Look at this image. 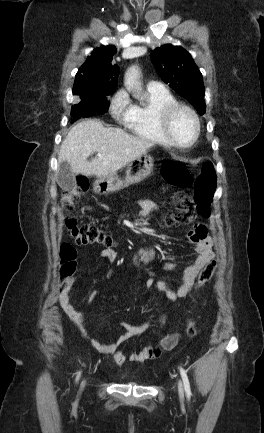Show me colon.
I'll list each match as a JSON object with an SVG mask.
<instances>
[{
	"label": "colon",
	"mask_w": 264,
	"mask_h": 433,
	"mask_svg": "<svg viewBox=\"0 0 264 433\" xmlns=\"http://www.w3.org/2000/svg\"><path fill=\"white\" fill-rule=\"evenodd\" d=\"M162 173L165 181L177 188L194 187L192 195H179L176 199L177 207L165 216L168 227H177L192 223L197 217H207L211 213V201L215 190L216 177L213 164L204 161L197 172L193 173L187 166L168 161L163 164ZM89 184L85 179H79L62 198L65 210L71 211L75 202L88 190ZM65 227L72 240L77 245L99 244L105 247H114L110 235L95 225L79 224L75 218L68 216ZM60 279L64 285L75 273L77 267V251L70 243H63L60 250ZM217 267L215 260H210L200 271L195 283V289L202 287L214 274ZM166 323V313L159 319V331ZM186 334L194 337L197 334L196 326L189 321Z\"/></svg>",
	"instance_id": "5ec220e1"
}]
</instances>
